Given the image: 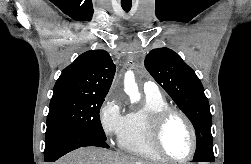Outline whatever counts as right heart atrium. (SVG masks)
Returning <instances> with one entry per match:
<instances>
[{"label":"right heart atrium","instance_id":"right-heart-atrium-1","mask_svg":"<svg viewBox=\"0 0 251 164\" xmlns=\"http://www.w3.org/2000/svg\"><path fill=\"white\" fill-rule=\"evenodd\" d=\"M125 119L121 101L114 97L107 98L99 111V122L108 139L119 138Z\"/></svg>","mask_w":251,"mask_h":164}]
</instances>
